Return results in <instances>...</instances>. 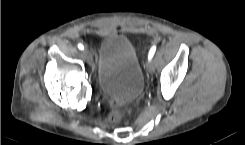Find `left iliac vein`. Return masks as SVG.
Segmentation results:
<instances>
[{
    "instance_id": "1",
    "label": "left iliac vein",
    "mask_w": 245,
    "mask_h": 145,
    "mask_svg": "<svg viewBox=\"0 0 245 145\" xmlns=\"http://www.w3.org/2000/svg\"><path fill=\"white\" fill-rule=\"evenodd\" d=\"M147 70L150 73H154V71H155V65H154L153 61H151V60H148L147 61Z\"/></svg>"
}]
</instances>
